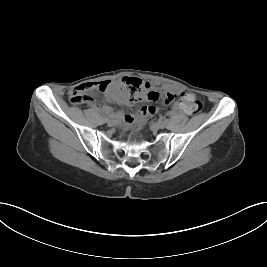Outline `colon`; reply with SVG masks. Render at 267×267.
<instances>
[{
    "instance_id": "1",
    "label": "colon",
    "mask_w": 267,
    "mask_h": 267,
    "mask_svg": "<svg viewBox=\"0 0 267 267\" xmlns=\"http://www.w3.org/2000/svg\"><path fill=\"white\" fill-rule=\"evenodd\" d=\"M108 83L102 82L98 85V90L106 89ZM123 88L128 91V100L131 103H137L146 99L152 103L169 104L174 100V96L170 93H160L150 90L149 86L136 78H127L123 84ZM93 90L88 84L84 83L81 86L73 89L70 94V102L73 104H81L90 98L89 92ZM181 105L185 113L189 115L197 114L202 109V102L194 93H186L182 97Z\"/></svg>"
}]
</instances>
